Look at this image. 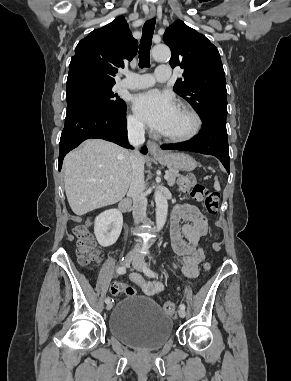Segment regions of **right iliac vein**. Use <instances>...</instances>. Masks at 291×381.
<instances>
[{
  "label": "right iliac vein",
  "mask_w": 291,
  "mask_h": 381,
  "mask_svg": "<svg viewBox=\"0 0 291 381\" xmlns=\"http://www.w3.org/2000/svg\"><path fill=\"white\" fill-rule=\"evenodd\" d=\"M135 260V256L133 254H128L125 256V258L123 259L122 261V265L123 266H129L133 261ZM113 307V303L112 302H109L107 303L106 305V309L107 310H111Z\"/></svg>",
  "instance_id": "63e3f726"
}]
</instances>
